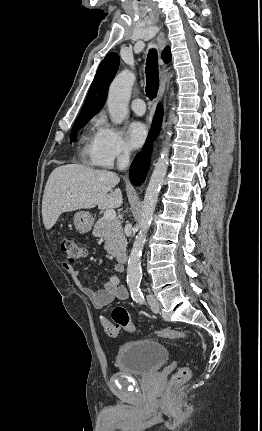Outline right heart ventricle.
Wrapping results in <instances>:
<instances>
[{"mask_svg": "<svg viewBox=\"0 0 262 431\" xmlns=\"http://www.w3.org/2000/svg\"><path fill=\"white\" fill-rule=\"evenodd\" d=\"M98 133V124L94 123L90 132L85 137V145L82 154L85 158H89L92 163L96 162L95 139Z\"/></svg>", "mask_w": 262, "mask_h": 431, "instance_id": "1", "label": "right heart ventricle"}]
</instances>
